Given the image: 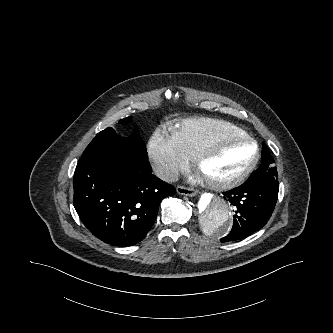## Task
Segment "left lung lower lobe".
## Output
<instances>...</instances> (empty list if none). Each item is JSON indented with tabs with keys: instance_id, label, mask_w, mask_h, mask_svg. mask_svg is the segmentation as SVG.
<instances>
[{
	"instance_id": "obj_1",
	"label": "left lung lower lobe",
	"mask_w": 333,
	"mask_h": 333,
	"mask_svg": "<svg viewBox=\"0 0 333 333\" xmlns=\"http://www.w3.org/2000/svg\"><path fill=\"white\" fill-rule=\"evenodd\" d=\"M262 154H270L266 144H263ZM278 191V182H245L223 193L235 207V215L231 232L220 241L244 239L262 228L272 215Z\"/></svg>"
}]
</instances>
